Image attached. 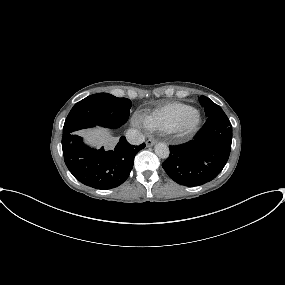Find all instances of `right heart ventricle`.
I'll return each mask as SVG.
<instances>
[{"mask_svg":"<svg viewBox=\"0 0 285 285\" xmlns=\"http://www.w3.org/2000/svg\"><path fill=\"white\" fill-rule=\"evenodd\" d=\"M193 108L181 102H170L159 106L140 119L141 124L149 130L173 132L181 119Z\"/></svg>","mask_w":285,"mask_h":285,"instance_id":"right-heart-ventricle-1","label":"right heart ventricle"}]
</instances>
